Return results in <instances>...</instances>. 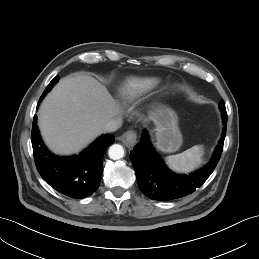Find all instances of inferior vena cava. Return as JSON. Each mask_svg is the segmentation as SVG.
<instances>
[{"instance_id":"1","label":"inferior vena cava","mask_w":259,"mask_h":259,"mask_svg":"<svg viewBox=\"0 0 259 259\" xmlns=\"http://www.w3.org/2000/svg\"><path fill=\"white\" fill-rule=\"evenodd\" d=\"M121 125V119L114 118L108 121L104 126L103 130L105 132H114L116 131Z\"/></svg>"}]
</instances>
